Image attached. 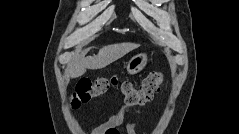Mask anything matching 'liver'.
Wrapping results in <instances>:
<instances>
[{
  "label": "liver",
  "instance_id": "6515ba94",
  "mask_svg": "<svg viewBox=\"0 0 239 134\" xmlns=\"http://www.w3.org/2000/svg\"><path fill=\"white\" fill-rule=\"evenodd\" d=\"M139 45L135 43H120L104 46L96 56L85 57V52L80 58L74 60L68 68V73L71 78H77L85 74L87 69H101L112 62L120 59L130 51L136 49Z\"/></svg>",
  "mask_w": 239,
  "mask_h": 134
}]
</instances>
